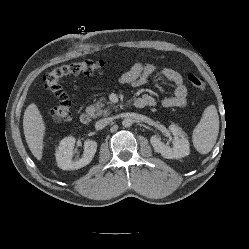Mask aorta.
I'll return each mask as SVG.
<instances>
[{
  "label": "aorta",
  "mask_w": 249,
  "mask_h": 249,
  "mask_svg": "<svg viewBox=\"0 0 249 249\" xmlns=\"http://www.w3.org/2000/svg\"><path fill=\"white\" fill-rule=\"evenodd\" d=\"M122 125L124 127H130L132 125V120L129 119V118H125L123 121H122Z\"/></svg>",
  "instance_id": "obj_1"
}]
</instances>
